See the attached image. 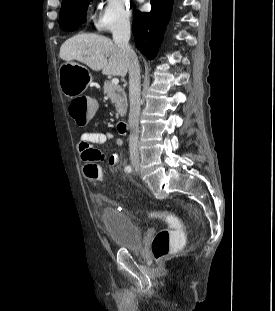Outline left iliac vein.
<instances>
[{"label": "left iliac vein", "instance_id": "left-iliac-vein-1", "mask_svg": "<svg viewBox=\"0 0 275 311\" xmlns=\"http://www.w3.org/2000/svg\"><path fill=\"white\" fill-rule=\"evenodd\" d=\"M139 171V167L135 166V172L137 173Z\"/></svg>", "mask_w": 275, "mask_h": 311}]
</instances>
